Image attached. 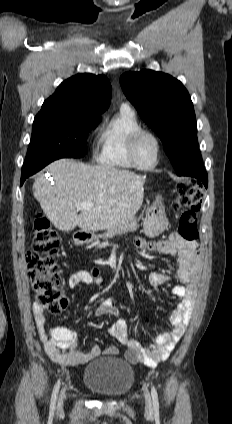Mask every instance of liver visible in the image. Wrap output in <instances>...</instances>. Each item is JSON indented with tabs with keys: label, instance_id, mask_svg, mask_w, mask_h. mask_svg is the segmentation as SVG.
<instances>
[{
	"label": "liver",
	"instance_id": "liver-1",
	"mask_svg": "<svg viewBox=\"0 0 232 424\" xmlns=\"http://www.w3.org/2000/svg\"><path fill=\"white\" fill-rule=\"evenodd\" d=\"M53 181L39 175L34 197L51 223L61 231L110 229L141 208L146 177L111 166L59 159L48 165ZM92 202L78 215L76 203Z\"/></svg>",
	"mask_w": 232,
	"mask_h": 424
}]
</instances>
